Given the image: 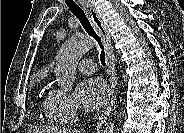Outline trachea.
<instances>
[{
    "label": "trachea",
    "instance_id": "1",
    "mask_svg": "<svg viewBox=\"0 0 184 133\" xmlns=\"http://www.w3.org/2000/svg\"><path fill=\"white\" fill-rule=\"evenodd\" d=\"M65 2L67 4V6L69 7L70 11L78 18V20L82 24L83 28L85 29V31L91 37H93L97 41V43L99 44L100 49H101L100 61H101L102 65H105V53H104L102 43L100 41V38L96 34L93 26L91 25L86 13L74 0H65Z\"/></svg>",
    "mask_w": 184,
    "mask_h": 133
}]
</instances>
